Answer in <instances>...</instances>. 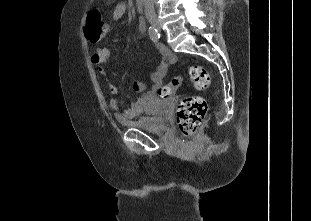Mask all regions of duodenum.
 <instances>
[{
  "mask_svg": "<svg viewBox=\"0 0 311 221\" xmlns=\"http://www.w3.org/2000/svg\"><path fill=\"white\" fill-rule=\"evenodd\" d=\"M135 5L137 10L139 11H143L144 10V6H145V0H135ZM139 27L144 28L146 23L143 20H140L138 22Z\"/></svg>",
  "mask_w": 311,
  "mask_h": 221,
  "instance_id": "duodenum-1",
  "label": "duodenum"
}]
</instances>
